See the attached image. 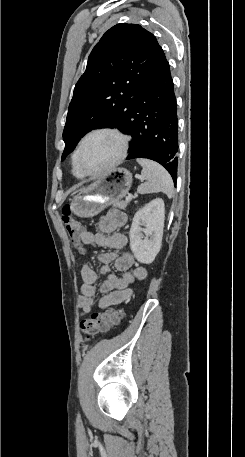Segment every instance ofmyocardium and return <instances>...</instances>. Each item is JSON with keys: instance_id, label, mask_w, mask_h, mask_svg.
I'll use <instances>...</instances> for the list:
<instances>
[{"instance_id": "1", "label": "myocardium", "mask_w": 245, "mask_h": 457, "mask_svg": "<svg viewBox=\"0 0 245 457\" xmlns=\"http://www.w3.org/2000/svg\"><path fill=\"white\" fill-rule=\"evenodd\" d=\"M101 133H109L119 139L120 145H119L118 154L116 155L114 160L111 163H109L107 166L103 167L100 170L90 172V171H87L81 163V160H80L81 153L85 146L86 141L90 137H92L96 134H101ZM128 145H129V140H128L127 136L125 134H123L120 130H118L117 128L100 127V128L93 129L92 131H90L83 137V139L81 140V142L77 148V151L75 154L76 164L83 175L91 176V177L99 176V175L113 169L114 167H116L126 157L127 151H128Z\"/></svg>"}]
</instances>
